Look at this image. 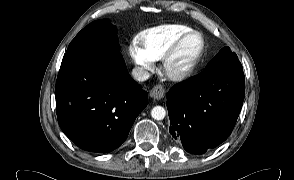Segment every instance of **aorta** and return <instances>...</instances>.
Listing matches in <instances>:
<instances>
[{"instance_id":"762f6f07","label":"aorta","mask_w":294,"mask_h":180,"mask_svg":"<svg viewBox=\"0 0 294 180\" xmlns=\"http://www.w3.org/2000/svg\"><path fill=\"white\" fill-rule=\"evenodd\" d=\"M166 115V111L162 106H155L151 110V116L155 120H163Z\"/></svg>"}]
</instances>
